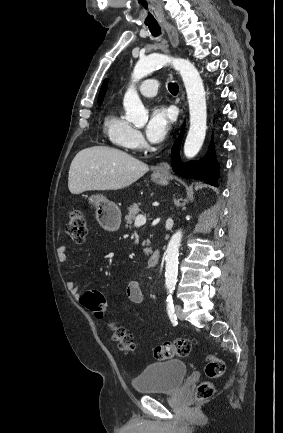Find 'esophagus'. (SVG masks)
I'll use <instances>...</instances> for the list:
<instances>
[{"label": "esophagus", "mask_w": 283, "mask_h": 433, "mask_svg": "<svg viewBox=\"0 0 283 433\" xmlns=\"http://www.w3.org/2000/svg\"><path fill=\"white\" fill-rule=\"evenodd\" d=\"M162 26L166 30L168 37L170 39V43L174 49L178 47L179 37L178 32L173 25L168 22L162 23ZM170 170V166L166 162H161L155 167V172H167Z\"/></svg>", "instance_id": "34e87169"}]
</instances>
